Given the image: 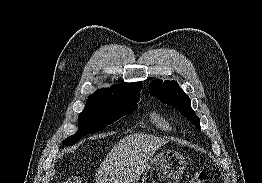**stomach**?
<instances>
[{"label":"stomach","instance_id":"0dacf381","mask_svg":"<svg viewBox=\"0 0 262 183\" xmlns=\"http://www.w3.org/2000/svg\"><path fill=\"white\" fill-rule=\"evenodd\" d=\"M187 165L177 151L168 150L157 154L145 169L142 183H178Z\"/></svg>","mask_w":262,"mask_h":183}]
</instances>
